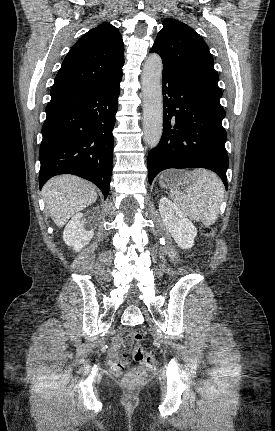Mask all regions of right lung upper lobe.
<instances>
[{
	"label": "right lung upper lobe",
	"mask_w": 275,
	"mask_h": 431,
	"mask_svg": "<svg viewBox=\"0 0 275 431\" xmlns=\"http://www.w3.org/2000/svg\"><path fill=\"white\" fill-rule=\"evenodd\" d=\"M124 46L118 29L103 23L84 34L58 71L51 97L108 86L122 78Z\"/></svg>",
	"instance_id": "obj_1"
}]
</instances>
